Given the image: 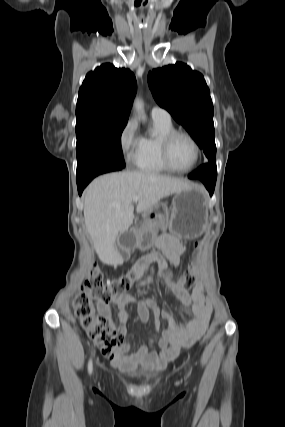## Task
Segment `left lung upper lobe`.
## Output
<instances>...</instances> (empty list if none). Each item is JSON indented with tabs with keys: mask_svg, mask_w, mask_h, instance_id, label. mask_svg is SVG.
Masks as SVG:
<instances>
[{
	"mask_svg": "<svg viewBox=\"0 0 285 427\" xmlns=\"http://www.w3.org/2000/svg\"><path fill=\"white\" fill-rule=\"evenodd\" d=\"M148 84L156 102L191 134L208 161L215 160L214 109L203 75L177 62L149 72Z\"/></svg>",
	"mask_w": 285,
	"mask_h": 427,
	"instance_id": "left-lung-upper-lobe-1",
	"label": "left lung upper lobe"
}]
</instances>
